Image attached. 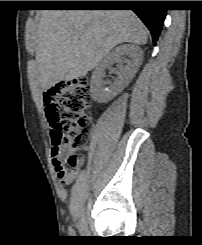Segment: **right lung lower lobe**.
I'll list each match as a JSON object with an SVG mask.
<instances>
[{"label":"right lung lower lobe","mask_w":202,"mask_h":245,"mask_svg":"<svg viewBox=\"0 0 202 245\" xmlns=\"http://www.w3.org/2000/svg\"><path fill=\"white\" fill-rule=\"evenodd\" d=\"M80 6L84 7H133V11L148 27L152 34L154 45L160 35L164 19L166 17V10L162 9L157 1H132L131 3H116L108 1H85Z\"/></svg>","instance_id":"obj_1"}]
</instances>
